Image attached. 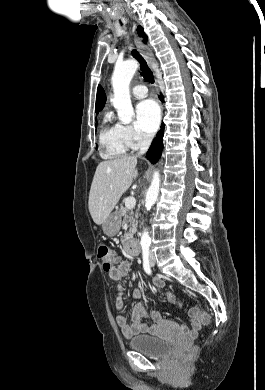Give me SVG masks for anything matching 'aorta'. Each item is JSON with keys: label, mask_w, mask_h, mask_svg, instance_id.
I'll return each instance as SVG.
<instances>
[{"label": "aorta", "mask_w": 265, "mask_h": 390, "mask_svg": "<svg viewBox=\"0 0 265 390\" xmlns=\"http://www.w3.org/2000/svg\"><path fill=\"white\" fill-rule=\"evenodd\" d=\"M138 68L136 60H127L116 63L114 72L112 75V87L114 96L112 99L113 106L117 110L118 118L123 123H130L134 117V110L130 99V82ZM160 187V174L159 171H155L151 181V185L148 188L145 207L150 210L155 204ZM151 238L147 229H144L141 236V246L149 247Z\"/></svg>", "instance_id": "aorta-1"}]
</instances>
